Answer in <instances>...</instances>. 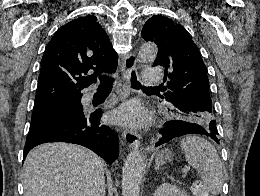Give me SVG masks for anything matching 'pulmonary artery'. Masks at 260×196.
Returning <instances> with one entry per match:
<instances>
[{
    "instance_id": "e3ab8cb5",
    "label": "pulmonary artery",
    "mask_w": 260,
    "mask_h": 196,
    "mask_svg": "<svg viewBox=\"0 0 260 196\" xmlns=\"http://www.w3.org/2000/svg\"><path fill=\"white\" fill-rule=\"evenodd\" d=\"M143 74H146V76H143V84H158V81H160L161 72H159V69H143ZM91 99L92 93H89L87 100L91 101Z\"/></svg>"
}]
</instances>
